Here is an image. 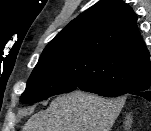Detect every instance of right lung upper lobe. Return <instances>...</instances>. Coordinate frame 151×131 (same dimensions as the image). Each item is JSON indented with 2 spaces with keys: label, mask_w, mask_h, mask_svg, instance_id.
Instances as JSON below:
<instances>
[{
  "label": "right lung upper lobe",
  "mask_w": 151,
  "mask_h": 131,
  "mask_svg": "<svg viewBox=\"0 0 151 131\" xmlns=\"http://www.w3.org/2000/svg\"><path fill=\"white\" fill-rule=\"evenodd\" d=\"M63 42L93 57L109 88L127 91L151 83L149 52L137 16L122 0H100L71 21L46 48Z\"/></svg>",
  "instance_id": "obj_1"
}]
</instances>
